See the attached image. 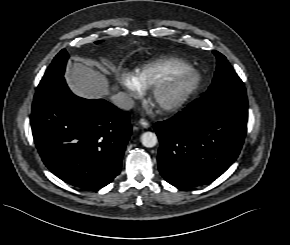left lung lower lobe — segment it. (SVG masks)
<instances>
[{"label":"left lung lower lobe","instance_id":"0a47b994","mask_svg":"<svg viewBox=\"0 0 290 245\" xmlns=\"http://www.w3.org/2000/svg\"><path fill=\"white\" fill-rule=\"evenodd\" d=\"M244 85L208 90L183 112L154 125L158 168L179 188L208 184L237 159L247 130Z\"/></svg>","mask_w":290,"mask_h":245}]
</instances>
